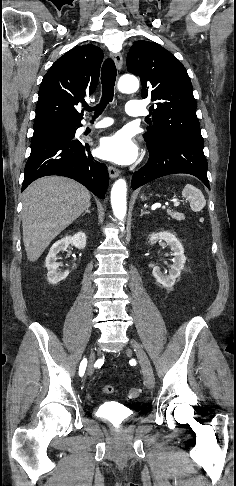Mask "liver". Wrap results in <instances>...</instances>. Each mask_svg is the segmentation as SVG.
<instances>
[{
	"instance_id": "obj_1",
	"label": "liver",
	"mask_w": 236,
	"mask_h": 486,
	"mask_svg": "<svg viewBox=\"0 0 236 486\" xmlns=\"http://www.w3.org/2000/svg\"><path fill=\"white\" fill-rule=\"evenodd\" d=\"M91 194L60 176L34 181L23 194L22 228L27 258L35 262L51 241L89 206Z\"/></svg>"
}]
</instances>
